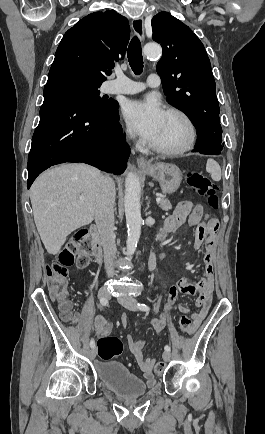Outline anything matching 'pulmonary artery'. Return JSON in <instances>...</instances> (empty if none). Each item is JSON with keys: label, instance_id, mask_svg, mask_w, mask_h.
<instances>
[{"label": "pulmonary artery", "instance_id": "pulmonary-artery-1", "mask_svg": "<svg viewBox=\"0 0 265 434\" xmlns=\"http://www.w3.org/2000/svg\"><path fill=\"white\" fill-rule=\"evenodd\" d=\"M115 78L116 80H130L121 72H117ZM151 84H159L156 74L146 75L145 81H114L113 86L107 88V92L109 94H135L141 90L150 89Z\"/></svg>", "mask_w": 265, "mask_h": 434}]
</instances>
